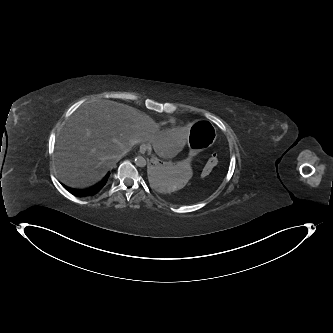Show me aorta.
<instances>
[{
  "label": "aorta",
  "instance_id": "aorta-1",
  "mask_svg": "<svg viewBox=\"0 0 333 333\" xmlns=\"http://www.w3.org/2000/svg\"><path fill=\"white\" fill-rule=\"evenodd\" d=\"M134 162H135V165L138 166V167H145L146 164H147L146 159L142 156H137L135 158Z\"/></svg>",
  "mask_w": 333,
  "mask_h": 333
}]
</instances>
